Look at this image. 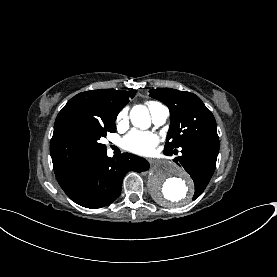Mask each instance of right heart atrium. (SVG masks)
Listing matches in <instances>:
<instances>
[{"label": "right heart atrium", "mask_w": 277, "mask_h": 277, "mask_svg": "<svg viewBox=\"0 0 277 277\" xmlns=\"http://www.w3.org/2000/svg\"><path fill=\"white\" fill-rule=\"evenodd\" d=\"M116 124L118 128H123L127 124V117L123 112L118 114L116 118Z\"/></svg>", "instance_id": "right-heart-atrium-1"}]
</instances>
